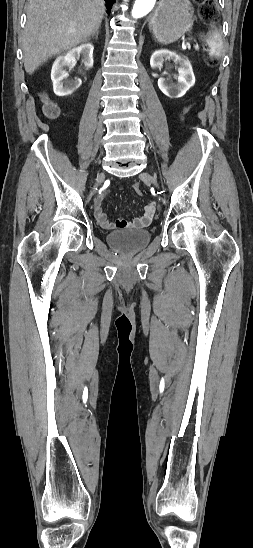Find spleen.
<instances>
[{"label":"spleen","mask_w":253,"mask_h":548,"mask_svg":"<svg viewBox=\"0 0 253 548\" xmlns=\"http://www.w3.org/2000/svg\"><path fill=\"white\" fill-rule=\"evenodd\" d=\"M204 40L210 48L209 55L217 58L221 57L223 52V41L221 34L214 26L208 36L204 37Z\"/></svg>","instance_id":"3e777b00"}]
</instances>
